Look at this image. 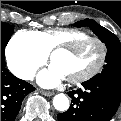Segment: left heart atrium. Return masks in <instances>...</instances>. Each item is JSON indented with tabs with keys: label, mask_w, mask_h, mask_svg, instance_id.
<instances>
[{
	"label": "left heart atrium",
	"mask_w": 121,
	"mask_h": 121,
	"mask_svg": "<svg viewBox=\"0 0 121 121\" xmlns=\"http://www.w3.org/2000/svg\"><path fill=\"white\" fill-rule=\"evenodd\" d=\"M65 77L54 66L44 69L37 76V81L41 86L53 88L58 86Z\"/></svg>",
	"instance_id": "39dd6f15"
}]
</instances>
